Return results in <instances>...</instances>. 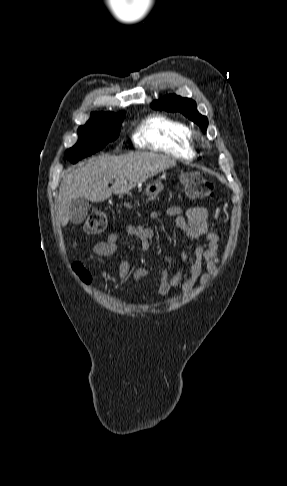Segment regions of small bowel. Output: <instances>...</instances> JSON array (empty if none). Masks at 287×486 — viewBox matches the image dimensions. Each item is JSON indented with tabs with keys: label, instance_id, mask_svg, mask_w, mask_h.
<instances>
[{
	"label": "small bowel",
	"instance_id": "1",
	"mask_svg": "<svg viewBox=\"0 0 287 486\" xmlns=\"http://www.w3.org/2000/svg\"><path fill=\"white\" fill-rule=\"evenodd\" d=\"M152 220L170 218L182 232L185 239L194 241V260L189 268V275H185V266L189 262V252L183 248L180 252L181 266L174 274L164 270L158 286V294L167 295L172 289L180 288L182 295H186L197 285H205L217 272L219 265V242L216 233L209 231V214L201 206H194L184 211L180 207H168L164 210H155L150 213ZM127 234L139 239L143 251L150 249V242L155 237L151 227L138 224L128 225ZM120 234L111 233L105 240L96 243L93 247L94 258L100 264L105 263L107 257L119 251ZM119 280L123 283L130 275L139 281L149 275L146 268H138L131 273L129 258L124 256L118 268Z\"/></svg>",
	"mask_w": 287,
	"mask_h": 486
}]
</instances>
